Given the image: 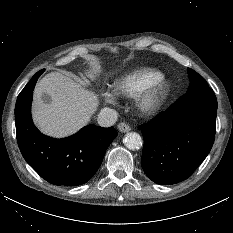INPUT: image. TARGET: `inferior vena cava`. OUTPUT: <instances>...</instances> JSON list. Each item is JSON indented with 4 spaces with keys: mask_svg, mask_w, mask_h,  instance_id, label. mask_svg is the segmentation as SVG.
<instances>
[{
    "mask_svg": "<svg viewBox=\"0 0 233 233\" xmlns=\"http://www.w3.org/2000/svg\"><path fill=\"white\" fill-rule=\"evenodd\" d=\"M118 113L111 108H103L98 114V124L102 127H110L116 123Z\"/></svg>",
    "mask_w": 233,
    "mask_h": 233,
    "instance_id": "602c4592",
    "label": "inferior vena cava"
}]
</instances>
